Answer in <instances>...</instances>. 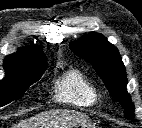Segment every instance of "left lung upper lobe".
<instances>
[{
    "label": "left lung upper lobe",
    "instance_id": "1",
    "mask_svg": "<svg viewBox=\"0 0 142 128\" xmlns=\"http://www.w3.org/2000/svg\"><path fill=\"white\" fill-rule=\"evenodd\" d=\"M70 49L93 65L110 94L124 107L126 118L132 120L135 107L126 90V70L117 48L102 34L90 33L72 42Z\"/></svg>",
    "mask_w": 142,
    "mask_h": 128
}]
</instances>
